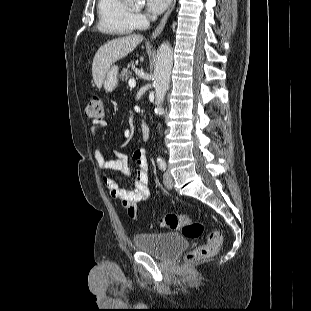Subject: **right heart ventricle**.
<instances>
[{"instance_id":"obj_1","label":"right heart ventricle","mask_w":311,"mask_h":311,"mask_svg":"<svg viewBox=\"0 0 311 311\" xmlns=\"http://www.w3.org/2000/svg\"><path fill=\"white\" fill-rule=\"evenodd\" d=\"M98 28L111 35H128L136 27L134 15L124 0H98Z\"/></svg>"}]
</instances>
